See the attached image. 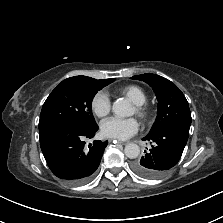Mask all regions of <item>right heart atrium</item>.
Returning <instances> with one entry per match:
<instances>
[{"instance_id":"1","label":"right heart atrium","mask_w":223,"mask_h":223,"mask_svg":"<svg viewBox=\"0 0 223 223\" xmlns=\"http://www.w3.org/2000/svg\"><path fill=\"white\" fill-rule=\"evenodd\" d=\"M91 108L97 117H106L111 110V100L109 95L104 91L97 92L91 101Z\"/></svg>"}]
</instances>
